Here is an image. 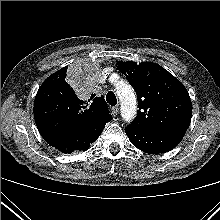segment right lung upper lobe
Here are the masks:
<instances>
[{
    "mask_svg": "<svg viewBox=\"0 0 220 220\" xmlns=\"http://www.w3.org/2000/svg\"><path fill=\"white\" fill-rule=\"evenodd\" d=\"M67 81V67H63L49 76L36 94L34 118L45 140L69 136L99 120L112 118L103 96L91 94L85 102L77 97Z\"/></svg>",
    "mask_w": 220,
    "mask_h": 220,
    "instance_id": "right-lung-upper-lobe-1",
    "label": "right lung upper lobe"
}]
</instances>
